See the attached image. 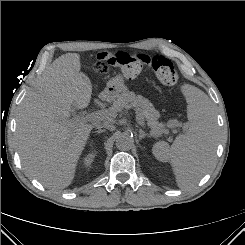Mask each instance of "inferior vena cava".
Instances as JSON below:
<instances>
[{
	"mask_svg": "<svg viewBox=\"0 0 245 245\" xmlns=\"http://www.w3.org/2000/svg\"><path fill=\"white\" fill-rule=\"evenodd\" d=\"M95 127L98 128V129H100V128H106V129H108L110 131L115 130V126L114 125H110V124H107V123L104 124V125L97 124V125H95Z\"/></svg>",
	"mask_w": 245,
	"mask_h": 245,
	"instance_id": "inferior-vena-cava-1",
	"label": "inferior vena cava"
}]
</instances>
